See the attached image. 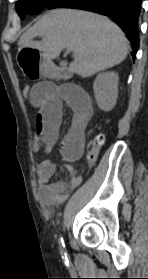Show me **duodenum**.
Wrapping results in <instances>:
<instances>
[{
  "mask_svg": "<svg viewBox=\"0 0 148 279\" xmlns=\"http://www.w3.org/2000/svg\"><path fill=\"white\" fill-rule=\"evenodd\" d=\"M57 74L62 79H67L72 76V72L68 68L61 67L57 70Z\"/></svg>",
  "mask_w": 148,
  "mask_h": 279,
  "instance_id": "1",
  "label": "duodenum"
}]
</instances>
